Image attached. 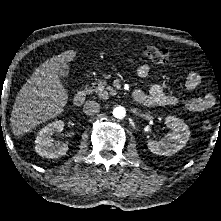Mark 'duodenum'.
<instances>
[{"label":"duodenum","mask_w":221,"mask_h":221,"mask_svg":"<svg viewBox=\"0 0 221 221\" xmlns=\"http://www.w3.org/2000/svg\"><path fill=\"white\" fill-rule=\"evenodd\" d=\"M86 96H87V92L86 90L84 89H80L76 95L74 96V99H73V103L74 105L76 106H80L84 103L85 99H86ZM139 96V92L138 91H134L132 92V98L134 100H136Z\"/></svg>","instance_id":"obj_1"}]
</instances>
